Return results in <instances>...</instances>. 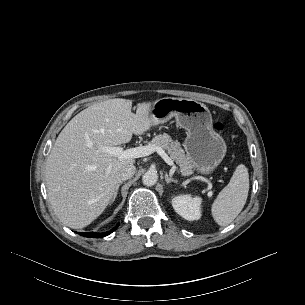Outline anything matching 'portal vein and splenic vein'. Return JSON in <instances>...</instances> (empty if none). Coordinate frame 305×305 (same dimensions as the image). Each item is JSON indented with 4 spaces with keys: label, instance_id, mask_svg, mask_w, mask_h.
<instances>
[{
    "label": "portal vein and splenic vein",
    "instance_id": "portal-vein-and-splenic-vein-1",
    "mask_svg": "<svg viewBox=\"0 0 305 305\" xmlns=\"http://www.w3.org/2000/svg\"><path fill=\"white\" fill-rule=\"evenodd\" d=\"M102 150L120 160L123 159H133L139 157H145L153 152H157L168 165H174L171 158L166 154V152L161 147H154L153 145L140 146L130 149H123L122 147H102Z\"/></svg>",
    "mask_w": 305,
    "mask_h": 305
}]
</instances>
